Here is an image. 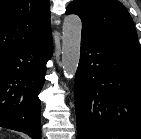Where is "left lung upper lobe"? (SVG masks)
Listing matches in <instances>:
<instances>
[{"instance_id": "obj_1", "label": "left lung upper lobe", "mask_w": 141, "mask_h": 139, "mask_svg": "<svg viewBox=\"0 0 141 139\" xmlns=\"http://www.w3.org/2000/svg\"><path fill=\"white\" fill-rule=\"evenodd\" d=\"M66 14L82 20V35L102 42L140 51L133 20L118 0H74Z\"/></svg>"}]
</instances>
